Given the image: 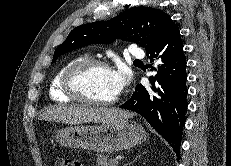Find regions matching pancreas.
<instances>
[{"label": "pancreas", "instance_id": "1", "mask_svg": "<svg viewBox=\"0 0 231 166\" xmlns=\"http://www.w3.org/2000/svg\"><path fill=\"white\" fill-rule=\"evenodd\" d=\"M97 166H117L118 163H116L113 159L109 160V156L97 154Z\"/></svg>", "mask_w": 231, "mask_h": 166}]
</instances>
